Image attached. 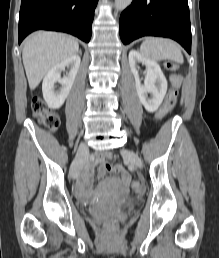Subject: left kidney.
Wrapping results in <instances>:
<instances>
[{
    "label": "left kidney",
    "instance_id": "left-kidney-1",
    "mask_svg": "<svg viewBox=\"0 0 219 258\" xmlns=\"http://www.w3.org/2000/svg\"><path fill=\"white\" fill-rule=\"evenodd\" d=\"M137 63H142L146 66L143 85L139 78ZM129 65L135 78L136 90L140 102L148 112H155L161 105L167 92V80L159 64L147 59L139 52L131 50L129 52ZM148 93L152 94V98L149 99L147 97Z\"/></svg>",
    "mask_w": 219,
    "mask_h": 258
}]
</instances>
